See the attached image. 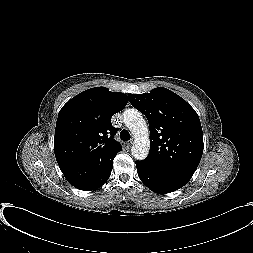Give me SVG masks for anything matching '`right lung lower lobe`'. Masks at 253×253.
Here are the masks:
<instances>
[{
  "mask_svg": "<svg viewBox=\"0 0 253 253\" xmlns=\"http://www.w3.org/2000/svg\"><path fill=\"white\" fill-rule=\"evenodd\" d=\"M112 167L113 163L106 170L94 176L93 178L72 185L83 191H91L98 189L109 179Z\"/></svg>",
  "mask_w": 253,
  "mask_h": 253,
  "instance_id": "98d812e1",
  "label": "right lung lower lobe"
}]
</instances>
